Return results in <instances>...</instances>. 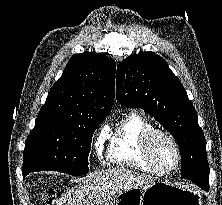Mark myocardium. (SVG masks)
Wrapping results in <instances>:
<instances>
[{"mask_svg":"<svg viewBox=\"0 0 222 205\" xmlns=\"http://www.w3.org/2000/svg\"><path fill=\"white\" fill-rule=\"evenodd\" d=\"M160 136L171 142L176 150V161L172 167H164L161 165L154 156L152 150V142L155 137ZM142 149L143 152L151 165L158 169L162 173H169L176 170L181 162L182 152L178 141L167 131L162 129L152 128L147 131L142 138Z\"/></svg>","mask_w":222,"mask_h":205,"instance_id":"myocardium-1","label":"myocardium"}]
</instances>
